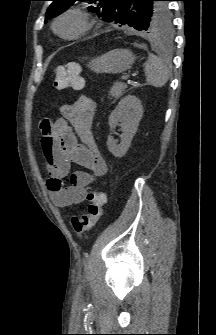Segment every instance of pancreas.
<instances>
[{
    "label": "pancreas",
    "mask_w": 216,
    "mask_h": 335,
    "mask_svg": "<svg viewBox=\"0 0 216 335\" xmlns=\"http://www.w3.org/2000/svg\"><path fill=\"white\" fill-rule=\"evenodd\" d=\"M127 88V85L122 82H116L114 85L111 87L109 91V95L111 96L110 99H114L113 102L118 100L124 93L125 89Z\"/></svg>",
    "instance_id": "1"
}]
</instances>
